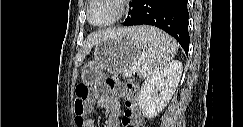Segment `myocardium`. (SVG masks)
<instances>
[{"mask_svg":"<svg viewBox=\"0 0 243 127\" xmlns=\"http://www.w3.org/2000/svg\"><path fill=\"white\" fill-rule=\"evenodd\" d=\"M96 1H99V0L88 1L87 7H86V19H87L88 23L93 27L102 28V27H107V26L113 25L116 22H118L119 20H121L128 12V0H106L116 6V8H117L116 14L112 18H110L109 20H107L103 23H93L90 19V9H91V6L93 5V3H95Z\"/></svg>","mask_w":243,"mask_h":127,"instance_id":"myocardium-1","label":"myocardium"}]
</instances>
